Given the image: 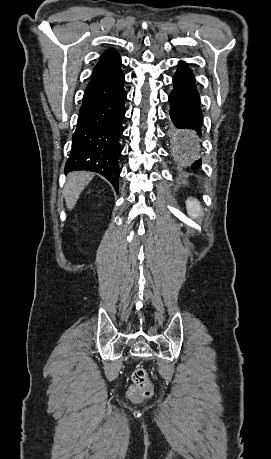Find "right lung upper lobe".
Segmentation results:
<instances>
[{
  "label": "right lung upper lobe",
  "instance_id": "right-lung-upper-lobe-1",
  "mask_svg": "<svg viewBox=\"0 0 271 459\" xmlns=\"http://www.w3.org/2000/svg\"><path fill=\"white\" fill-rule=\"evenodd\" d=\"M120 66L121 59L119 54L114 49L106 51L101 56L99 63L95 66L91 81L97 80L111 73L121 71Z\"/></svg>",
  "mask_w": 271,
  "mask_h": 459
}]
</instances>
